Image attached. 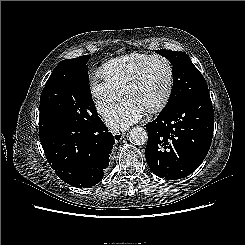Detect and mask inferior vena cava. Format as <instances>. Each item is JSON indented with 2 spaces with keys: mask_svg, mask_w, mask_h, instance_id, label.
I'll list each match as a JSON object with an SVG mask.
<instances>
[{
  "mask_svg": "<svg viewBox=\"0 0 245 245\" xmlns=\"http://www.w3.org/2000/svg\"><path fill=\"white\" fill-rule=\"evenodd\" d=\"M105 105L106 104L104 102H98L97 105H96L97 106L96 107L97 108V111L100 112V113L103 112V110L105 108Z\"/></svg>",
  "mask_w": 245,
  "mask_h": 245,
  "instance_id": "obj_1",
  "label": "inferior vena cava"
}]
</instances>
